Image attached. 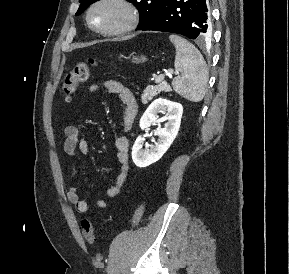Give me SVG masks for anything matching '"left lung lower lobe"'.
<instances>
[{"label":"left lung lower lobe","mask_w":289,"mask_h":274,"mask_svg":"<svg viewBox=\"0 0 289 274\" xmlns=\"http://www.w3.org/2000/svg\"><path fill=\"white\" fill-rule=\"evenodd\" d=\"M138 30L172 32L204 40L211 34L207 0H165L156 15Z\"/></svg>","instance_id":"obj_1"}]
</instances>
